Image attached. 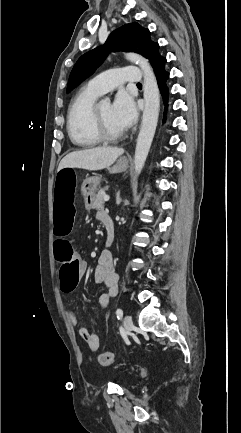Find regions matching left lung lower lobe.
Wrapping results in <instances>:
<instances>
[{
    "mask_svg": "<svg viewBox=\"0 0 241 433\" xmlns=\"http://www.w3.org/2000/svg\"><path fill=\"white\" fill-rule=\"evenodd\" d=\"M155 75H156L158 86L160 88V92H161V95L163 98V103L165 105L164 112H166L167 106H168V96H169V89L166 85V82H167V79L169 78V73L164 70V71L159 72ZM164 121H165V117H164Z\"/></svg>",
    "mask_w": 241,
    "mask_h": 433,
    "instance_id": "0a47b994",
    "label": "left lung lower lobe"
}]
</instances>
